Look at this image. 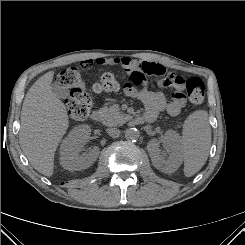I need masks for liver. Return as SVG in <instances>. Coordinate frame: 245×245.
Wrapping results in <instances>:
<instances>
[{
	"instance_id": "obj_1",
	"label": "liver",
	"mask_w": 245,
	"mask_h": 245,
	"mask_svg": "<svg viewBox=\"0 0 245 245\" xmlns=\"http://www.w3.org/2000/svg\"><path fill=\"white\" fill-rule=\"evenodd\" d=\"M53 77L54 71L47 72L28 90L19 132L30 164L47 177L53 175L55 151L69 126L66 107L52 91Z\"/></svg>"
}]
</instances>
